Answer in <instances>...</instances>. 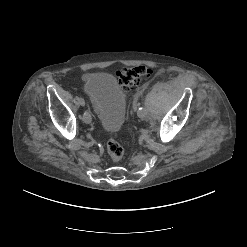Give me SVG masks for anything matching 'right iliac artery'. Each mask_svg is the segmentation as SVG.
Wrapping results in <instances>:
<instances>
[{
    "label": "right iliac artery",
    "instance_id": "1",
    "mask_svg": "<svg viewBox=\"0 0 247 247\" xmlns=\"http://www.w3.org/2000/svg\"><path fill=\"white\" fill-rule=\"evenodd\" d=\"M79 105H80V107L84 108V107H86L87 103L83 98H80L79 99Z\"/></svg>",
    "mask_w": 247,
    "mask_h": 247
}]
</instances>
